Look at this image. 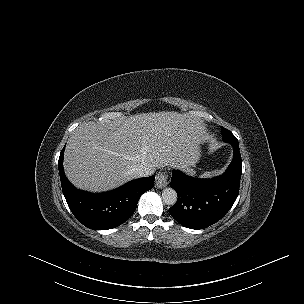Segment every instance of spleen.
Wrapping results in <instances>:
<instances>
[{"instance_id": "3e777b00", "label": "spleen", "mask_w": 304, "mask_h": 304, "mask_svg": "<svg viewBox=\"0 0 304 304\" xmlns=\"http://www.w3.org/2000/svg\"><path fill=\"white\" fill-rule=\"evenodd\" d=\"M216 173H220V170L214 171V174H216Z\"/></svg>"}]
</instances>
